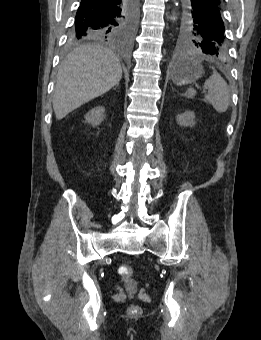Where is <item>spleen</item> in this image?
Returning <instances> with one entry per match:
<instances>
[{"instance_id": "spleen-1", "label": "spleen", "mask_w": 261, "mask_h": 340, "mask_svg": "<svg viewBox=\"0 0 261 340\" xmlns=\"http://www.w3.org/2000/svg\"><path fill=\"white\" fill-rule=\"evenodd\" d=\"M207 90L205 100L209 102L218 113H224L230 104L229 87L220 74L214 72L204 83ZM196 91L192 88L186 91L188 97H194Z\"/></svg>"}]
</instances>
